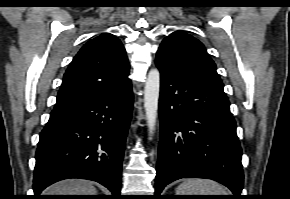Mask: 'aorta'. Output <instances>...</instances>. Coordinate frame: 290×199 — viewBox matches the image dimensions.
<instances>
[{
  "instance_id": "762f6f07",
  "label": "aorta",
  "mask_w": 290,
  "mask_h": 199,
  "mask_svg": "<svg viewBox=\"0 0 290 199\" xmlns=\"http://www.w3.org/2000/svg\"><path fill=\"white\" fill-rule=\"evenodd\" d=\"M159 94L160 72L155 68L149 71L144 87V108L150 136H153L156 127Z\"/></svg>"
}]
</instances>
